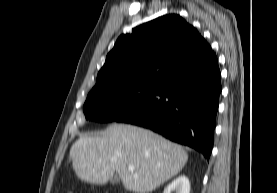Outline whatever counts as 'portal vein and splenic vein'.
Here are the masks:
<instances>
[{"instance_id": "18ae733b", "label": "portal vein and splenic vein", "mask_w": 277, "mask_h": 193, "mask_svg": "<svg viewBox=\"0 0 277 193\" xmlns=\"http://www.w3.org/2000/svg\"><path fill=\"white\" fill-rule=\"evenodd\" d=\"M128 170H129L130 172H133V171H134V167H133V166H129V167H128Z\"/></svg>"}]
</instances>
